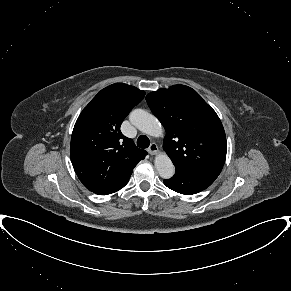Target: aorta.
I'll return each mask as SVG.
<instances>
[{
  "mask_svg": "<svg viewBox=\"0 0 291 291\" xmlns=\"http://www.w3.org/2000/svg\"><path fill=\"white\" fill-rule=\"evenodd\" d=\"M130 122L141 132L153 137L163 135V128L159 120L152 114L142 109H135L130 114ZM155 168L164 179L171 178L175 173V167L166 153H160L155 157Z\"/></svg>",
  "mask_w": 291,
  "mask_h": 291,
  "instance_id": "aorta-1",
  "label": "aorta"
}]
</instances>
